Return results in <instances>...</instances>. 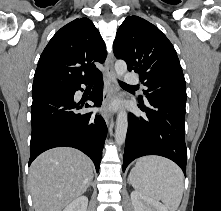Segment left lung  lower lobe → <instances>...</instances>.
I'll return each instance as SVG.
<instances>
[{"label": "left lung lower lobe", "mask_w": 221, "mask_h": 211, "mask_svg": "<svg viewBox=\"0 0 221 211\" xmlns=\"http://www.w3.org/2000/svg\"><path fill=\"white\" fill-rule=\"evenodd\" d=\"M138 102V107L145 114L128 115L123 171L136 158L159 155L178 164L186 176V101L159 97Z\"/></svg>", "instance_id": "obj_1"}]
</instances>
